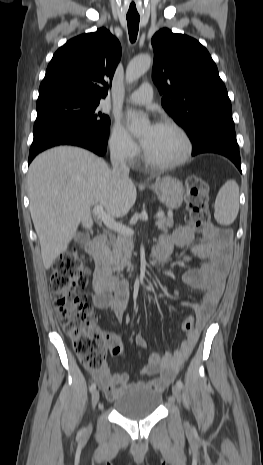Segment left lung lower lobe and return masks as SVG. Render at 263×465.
<instances>
[{
  "instance_id": "0a47b994",
  "label": "left lung lower lobe",
  "mask_w": 263,
  "mask_h": 465,
  "mask_svg": "<svg viewBox=\"0 0 263 465\" xmlns=\"http://www.w3.org/2000/svg\"><path fill=\"white\" fill-rule=\"evenodd\" d=\"M193 145V156L205 152L222 154L228 157L241 171L239 146L234 125H217L206 131Z\"/></svg>"
}]
</instances>
